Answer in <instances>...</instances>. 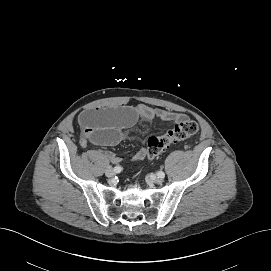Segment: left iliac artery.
<instances>
[{"mask_svg":"<svg viewBox=\"0 0 271 271\" xmlns=\"http://www.w3.org/2000/svg\"><path fill=\"white\" fill-rule=\"evenodd\" d=\"M157 175H158L159 177H161V178H164V177H165V173H164L163 171H159V172L157 173Z\"/></svg>","mask_w":271,"mask_h":271,"instance_id":"44dca946","label":"left iliac artery"}]
</instances>
